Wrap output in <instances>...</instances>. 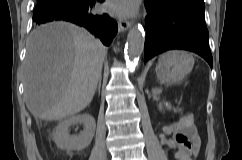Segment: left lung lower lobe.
<instances>
[{
	"label": "left lung lower lobe",
	"mask_w": 242,
	"mask_h": 160,
	"mask_svg": "<svg viewBox=\"0 0 242 160\" xmlns=\"http://www.w3.org/2000/svg\"><path fill=\"white\" fill-rule=\"evenodd\" d=\"M145 60L167 50H189L202 56L212 67L209 34L203 10L192 7H170L161 1L145 0Z\"/></svg>",
	"instance_id": "left-lung-lower-lobe-1"
}]
</instances>
